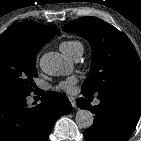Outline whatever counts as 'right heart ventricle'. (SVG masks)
Masks as SVG:
<instances>
[{
	"mask_svg": "<svg viewBox=\"0 0 141 141\" xmlns=\"http://www.w3.org/2000/svg\"><path fill=\"white\" fill-rule=\"evenodd\" d=\"M59 49L64 55L72 58L75 54L83 52V45L78 40H67L59 45Z\"/></svg>",
	"mask_w": 141,
	"mask_h": 141,
	"instance_id": "obj_1",
	"label": "right heart ventricle"
}]
</instances>
